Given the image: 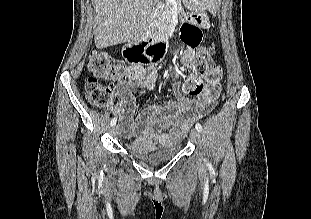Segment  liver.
I'll return each mask as SVG.
<instances>
[{
	"instance_id": "liver-1",
	"label": "liver",
	"mask_w": 311,
	"mask_h": 219,
	"mask_svg": "<svg viewBox=\"0 0 311 219\" xmlns=\"http://www.w3.org/2000/svg\"><path fill=\"white\" fill-rule=\"evenodd\" d=\"M155 0H92L95 8L94 42L102 49L140 40ZM211 0H193L192 9L203 10Z\"/></svg>"
}]
</instances>
